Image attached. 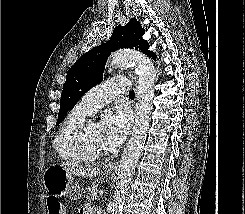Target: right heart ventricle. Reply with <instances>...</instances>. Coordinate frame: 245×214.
Here are the masks:
<instances>
[{
  "label": "right heart ventricle",
  "mask_w": 245,
  "mask_h": 214,
  "mask_svg": "<svg viewBox=\"0 0 245 214\" xmlns=\"http://www.w3.org/2000/svg\"><path fill=\"white\" fill-rule=\"evenodd\" d=\"M89 114L79 103L65 117L53 140V148L61 160L73 164L82 161L74 152L71 139L76 128L86 120Z\"/></svg>",
  "instance_id": "right-heart-ventricle-1"
}]
</instances>
